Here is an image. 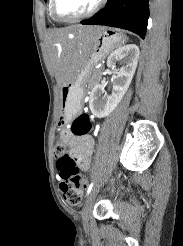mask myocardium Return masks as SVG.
<instances>
[{
	"instance_id": "obj_1",
	"label": "myocardium",
	"mask_w": 183,
	"mask_h": 246,
	"mask_svg": "<svg viewBox=\"0 0 183 246\" xmlns=\"http://www.w3.org/2000/svg\"><path fill=\"white\" fill-rule=\"evenodd\" d=\"M104 2H105V0H97L95 5L90 10H88L87 12H85L81 15H78V16H74V17H64V16H60L58 14V11H57L58 0H51V14H52V17L57 21L76 22V21H80V20L86 19V18L94 15L103 6Z\"/></svg>"
}]
</instances>
